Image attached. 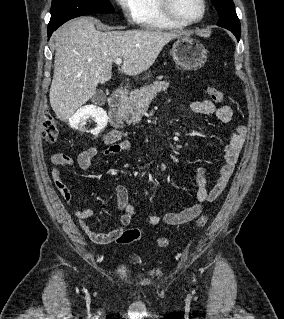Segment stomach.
Here are the masks:
<instances>
[{
    "mask_svg": "<svg viewBox=\"0 0 284 319\" xmlns=\"http://www.w3.org/2000/svg\"><path fill=\"white\" fill-rule=\"evenodd\" d=\"M170 54L175 63L185 70H196L207 61V50L203 44L190 37H178Z\"/></svg>",
    "mask_w": 284,
    "mask_h": 319,
    "instance_id": "1",
    "label": "stomach"
}]
</instances>
